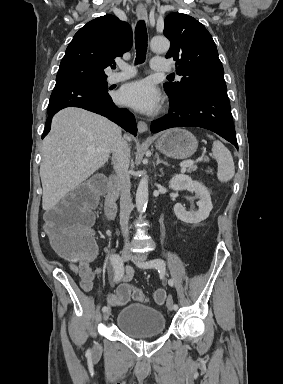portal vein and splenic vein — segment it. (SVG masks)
<instances>
[{
    "mask_svg": "<svg viewBox=\"0 0 283 384\" xmlns=\"http://www.w3.org/2000/svg\"><path fill=\"white\" fill-rule=\"evenodd\" d=\"M196 162H201V158H198ZM195 164L194 160H186V162H181V168H188V166H193Z\"/></svg>",
    "mask_w": 283,
    "mask_h": 384,
    "instance_id": "portal-vein-and-splenic-vein-1",
    "label": "portal vein and splenic vein"
}]
</instances>
